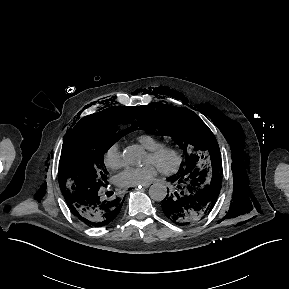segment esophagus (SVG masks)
<instances>
[{
	"label": "esophagus",
	"instance_id": "34e87169",
	"mask_svg": "<svg viewBox=\"0 0 289 289\" xmlns=\"http://www.w3.org/2000/svg\"><path fill=\"white\" fill-rule=\"evenodd\" d=\"M150 186V183L147 185H143L142 188H148ZM139 187H135V189H138Z\"/></svg>",
	"mask_w": 289,
	"mask_h": 289
}]
</instances>
